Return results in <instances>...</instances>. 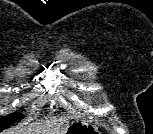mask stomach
Listing matches in <instances>:
<instances>
[{
	"label": "stomach",
	"instance_id": "0dacf381",
	"mask_svg": "<svg viewBox=\"0 0 153 134\" xmlns=\"http://www.w3.org/2000/svg\"><path fill=\"white\" fill-rule=\"evenodd\" d=\"M98 129L90 122L75 120L66 128L64 134H96Z\"/></svg>",
	"mask_w": 153,
	"mask_h": 134
}]
</instances>
